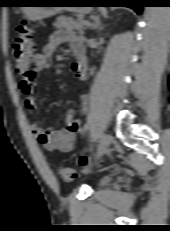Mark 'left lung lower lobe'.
Here are the masks:
<instances>
[{"instance_id": "0a47b994", "label": "left lung lower lobe", "mask_w": 170, "mask_h": 231, "mask_svg": "<svg viewBox=\"0 0 170 231\" xmlns=\"http://www.w3.org/2000/svg\"><path fill=\"white\" fill-rule=\"evenodd\" d=\"M103 6H112L113 4H121L118 6H125L134 9L138 14H141L142 7L145 5V0H102Z\"/></svg>"}]
</instances>
